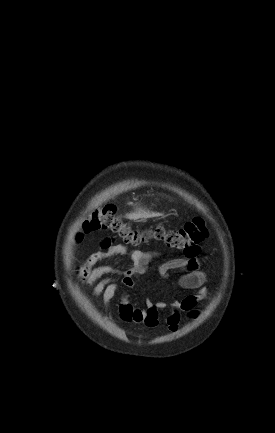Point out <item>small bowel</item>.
Instances as JSON below:
<instances>
[{"instance_id": "small-bowel-1", "label": "small bowel", "mask_w": 275, "mask_h": 433, "mask_svg": "<svg viewBox=\"0 0 275 433\" xmlns=\"http://www.w3.org/2000/svg\"><path fill=\"white\" fill-rule=\"evenodd\" d=\"M198 254L199 248L197 247V253L194 256L173 258L159 266V272L164 277L174 271H184L178 284L184 289L192 290L193 293L171 303L147 300L145 307L131 303L125 294H121L118 300V313L121 320L155 328L159 323L160 311L168 310L166 323L169 330L174 332L178 329L181 313L193 317L199 303L209 296L208 289L205 287L206 274L200 268ZM115 256L129 257L133 263L132 266L121 269L112 264L97 265ZM154 256L155 254L149 251L129 250L123 245L113 244L110 239L106 238L102 241L101 249L88 256L79 268L78 275L92 289L93 295L101 298L105 309H109L121 285L131 288L134 285L135 276L150 272V263Z\"/></svg>"}]
</instances>
